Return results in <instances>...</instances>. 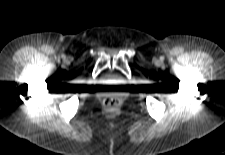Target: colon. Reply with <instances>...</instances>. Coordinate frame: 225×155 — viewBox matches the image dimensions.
Masks as SVG:
<instances>
[{"label":"colon","mask_w":225,"mask_h":155,"mask_svg":"<svg viewBox=\"0 0 225 155\" xmlns=\"http://www.w3.org/2000/svg\"><path fill=\"white\" fill-rule=\"evenodd\" d=\"M105 106L108 109H115L119 106V100L115 98H108L105 100Z\"/></svg>","instance_id":"1"}]
</instances>
